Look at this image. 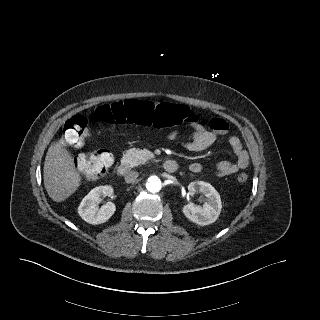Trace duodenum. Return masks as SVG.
<instances>
[{
	"instance_id": "1",
	"label": "duodenum",
	"mask_w": 320,
	"mask_h": 320,
	"mask_svg": "<svg viewBox=\"0 0 320 320\" xmlns=\"http://www.w3.org/2000/svg\"><path fill=\"white\" fill-rule=\"evenodd\" d=\"M178 163L174 160H166L163 162V169L167 173H175L178 170ZM130 166L127 162L123 161L118 165L117 172L120 176H125L129 173Z\"/></svg>"
}]
</instances>
